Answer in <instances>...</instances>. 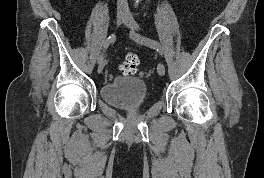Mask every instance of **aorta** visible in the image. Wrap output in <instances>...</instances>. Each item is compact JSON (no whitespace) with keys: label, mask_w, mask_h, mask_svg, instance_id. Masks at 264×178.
<instances>
[{"label":"aorta","mask_w":264,"mask_h":178,"mask_svg":"<svg viewBox=\"0 0 264 178\" xmlns=\"http://www.w3.org/2000/svg\"><path fill=\"white\" fill-rule=\"evenodd\" d=\"M140 1H141V0H135V4H136V6L139 4Z\"/></svg>","instance_id":"obj_1"}]
</instances>
